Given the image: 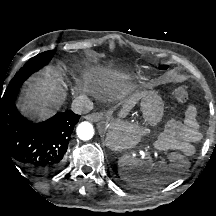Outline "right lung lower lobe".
Listing matches in <instances>:
<instances>
[{"label":"right lung lower lobe","mask_w":216,"mask_h":216,"mask_svg":"<svg viewBox=\"0 0 216 216\" xmlns=\"http://www.w3.org/2000/svg\"><path fill=\"white\" fill-rule=\"evenodd\" d=\"M16 94L0 98V156L19 162L36 176L54 174L64 162L80 116L65 111L44 122L30 123L15 106Z\"/></svg>","instance_id":"1"}]
</instances>
